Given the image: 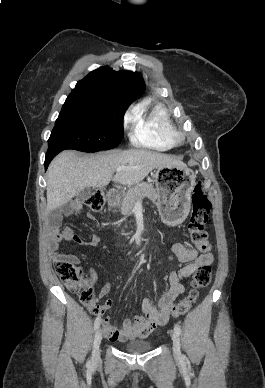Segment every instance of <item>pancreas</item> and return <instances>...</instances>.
Returning <instances> with one entry per match:
<instances>
[{"label": "pancreas", "instance_id": "pancreas-1", "mask_svg": "<svg viewBox=\"0 0 265 388\" xmlns=\"http://www.w3.org/2000/svg\"><path fill=\"white\" fill-rule=\"evenodd\" d=\"M143 198H149L152 202L158 200V194H156L153 184L141 182V184H136L133 188H129L127 194L123 196V202L120 208L121 214H129L137 200H143Z\"/></svg>", "mask_w": 265, "mask_h": 388}]
</instances>
